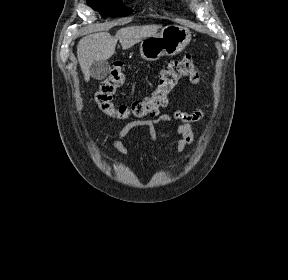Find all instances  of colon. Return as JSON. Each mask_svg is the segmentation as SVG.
Here are the masks:
<instances>
[{"label": "colon", "mask_w": 288, "mask_h": 280, "mask_svg": "<svg viewBox=\"0 0 288 280\" xmlns=\"http://www.w3.org/2000/svg\"><path fill=\"white\" fill-rule=\"evenodd\" d=\"M182 78H187L193 83L199 80L198 68L190 55H186L180 60L171 61L162 69L158 76L156 88L144 98L129 105H115L113 96L116 90L125 82L122 66L115 64L109 76L102 82L96 92L95 99L103 113L117 119L153 116L160 108L167 105L169 93Z\"/></svg>", "instance_id": "5ec220e1"}]
</instances>
